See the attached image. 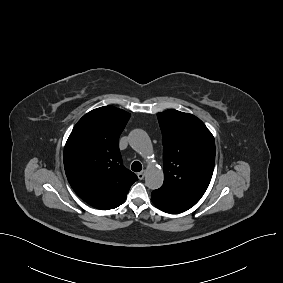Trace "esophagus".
Masks as SVG:
<instances>
[{
    "instance_id": "obj_1",
    "label": "esophagus",
    "mask_w": 283,
    "mask_h": 283,
    "mask_svg": "<svg viewBox=\"0 0 283 283\" xmlns=\"http://www.w3.org/2000/svg\"><path fill=\"white\" fill-rule=\"evenodd\" d=\"M145 173H146L145 170H142L141 172H139V173L137 174L138 178H139L140 180L144 179Z\"/></svg>"
}]
</instances>
